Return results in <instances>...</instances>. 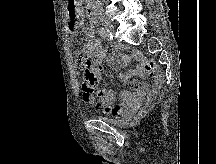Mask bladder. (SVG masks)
I'll return each instance as SVG.
<instances>
[{"mask_svg": "<svg viewBox=\"0 0 216 164\" xmlns=\"http://www.w3.org/2000/svg\"><path fill=\"white\" fill-rule=\"evenodd\" d=\"M106 122L110 123V124H113V125H119V124H122L121 121H118L116 119H107L105 120Z\"/></svg>", "mask_w": 216, "mask_h": 164, "instance_id": "31cf9c89", "label": "bladder"}]
</instances>
